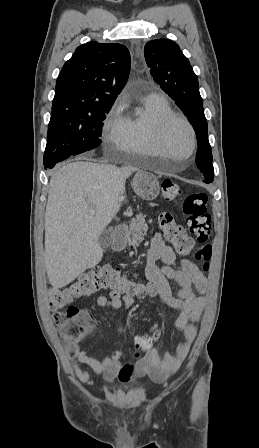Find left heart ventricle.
<instances>
[{
	"label": "left heart ventricle",
	"instance_id": "obj_1",
	"mask_svg": "<svg viewBox=\"0 0 259 448\" xmlns=\"http://www.w3.org/2000/svg\"><path fill=\"white\" fill-rule=\"evenodd\" d=\"M167 149L147 150L146 154L159 157L167 162H188L191 154V136L187 127L179 122H173L165 134Z\"/></svg>",
	"mask_w": 259,
	"mask_h": 448
}]
</instances>
